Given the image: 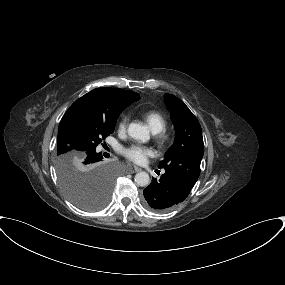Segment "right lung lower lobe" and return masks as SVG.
Wrapping results in <instances>:
<instances>
[{
  "label": "right lung lower lobe",
  "mask_w": 285,
  "mask_h": 285,
  "mask_svg": "<svg viewBox=\"0 0 285 285\" xmlns=\"http://www.w3.org/2000/svg\"><path fill=\"white\" fill-rule=\"evenodd\" d=\"M101 161H102V155L101 153H97V152L89 153L85 159L87 166H91L96 169H99L98 165L101 163Z\"/></svg>",
  "instance_id": "98d812e1"
}]
</instances>
